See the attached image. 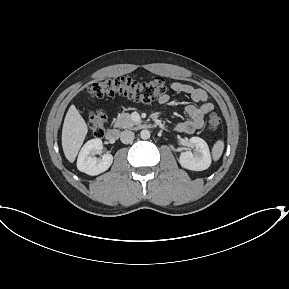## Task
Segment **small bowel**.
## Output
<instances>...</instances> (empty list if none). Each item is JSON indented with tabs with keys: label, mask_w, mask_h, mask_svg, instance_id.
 <instances>
[{
	"label": "small bowel",
	"mask_w": 289,
	"mask_h": 289,
	"mask_svg": "<svg viewBox=\"0 0 289 289\" xmlns=\"http://www.w3.org/2000/svg\"><path fill=\"white\" fill-rule=\"evenodd\" d=\"M170 88L178 93L188 94L190 98L200 105H188L185 109L189 119L179 122L175 125V130L181 133L191 134L202 128L204 117L214 108L213 104L208 102V95L205 90L194 87L182 82H172ZM170 101L169 95H163L159 98L160 105H166Z\"/></svg>",
	"instance_id": "1"
}]
</instances>
